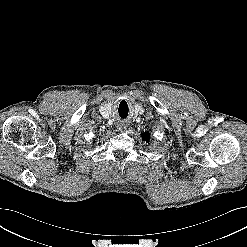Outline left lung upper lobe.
Segmentation results:
<instances>
[{
  "label": "left lung upper lobe",
  "mask_w": 247,
  "mask_h": 247,
  "mask_svg": "<svg viewBox=\"0 0 247 247\" xmlns=\"http://www.w3.org/2000/svg\"><path fill=\"white\" fill-rule=\"evenodd\" d=\"M143 138H144L145 140H148V139H149V134H148V133L144 134V135H143Z\"/></svg>",
  "instance_id": "1"
}]
</instances>
